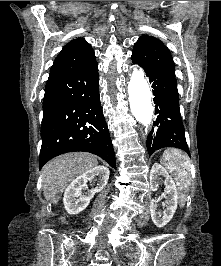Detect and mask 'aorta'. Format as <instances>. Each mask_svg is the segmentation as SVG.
<instances>
[{
  "instance_id": "762f6f07",
  "label": "aorta",
  "mask_w": 221,
  "mask_h": 266,
  "mask_svg": "<svg viewBox=\"0 0 221 266\" xmlns=\"http://www.w3.org/2000/svg\"><path fill=\"white\" fill-rule=\"evenodd\" d=\"M128 94L132 114L138 122L148 127L152 122L153 107L151 91L143 70H133L128 84Z\"/></svg>"
}]
</instances>
